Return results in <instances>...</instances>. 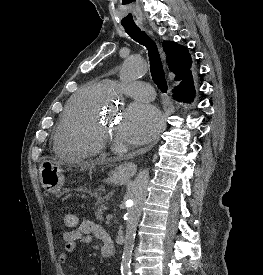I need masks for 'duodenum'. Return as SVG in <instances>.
Here are the masks:
<instances>
[{
    "label": "duodenum",
    "mask_w": 263,
    "mask_h": 275,
    "mask_svg": "<svg viewBox=\"0 0 263 275\" xmlns=\"http://www.w3.org/2000/svg\"><path fill=\"white\" fill-rule=\"evenodd\" d=\"M103 251H102V255L104 258H111L114 256L115 253V248H114V243L111 239V237L109 236V234H105L104 238H103Z\"/></svg>",
    "instance_id": "1"
}]
</instances>
